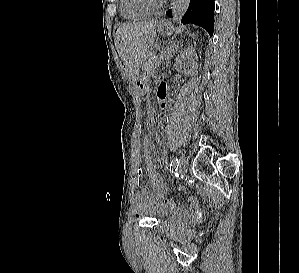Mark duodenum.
Wrapping results in <instances>:
<instances>
[{
	"label": "duodenum",
	"mask_w": 299,
	"mask_h": 273,
	"mask_svg": "<svg viewBox=\"0 0 299 273\" xmlns=\"http://www.w3.org/2000/svg\"><path fill=\"white\" fill-rule=\"evenodd\" d=\"M160 107H161V108H164V105L162 104V105H160Z\"/></svg>",
	"instance_id": "duodenum-1"
}]
</instances>
